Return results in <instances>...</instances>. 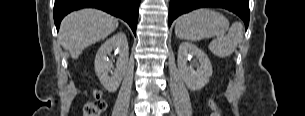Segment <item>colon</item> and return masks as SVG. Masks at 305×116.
<instances>
[{
  "label": "colon",
  "mask_w": 305,
  "mask_h": 116,
  "mask_svg": "<svg viewBox=\"0 0 305 116\" xmlns=\"http://www.w3.org/2000/svg\"><path fill=\"white\" fill-rule=\"evenodd\" d=\"M211 108V116H220V112L214 103H211ZM105 110V100L102 98V95L99 91H95L93 100L86 103L83 108V116H100Z\"/></svg>",
  "instance_id": "1"
}]
</instances>
